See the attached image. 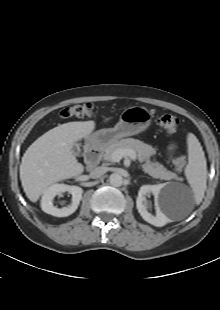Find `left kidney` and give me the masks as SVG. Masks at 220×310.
<instances>
[{
	"label": "left kidney",
	"mask_w": 220,
	"mask_h": 310,
	"mask_svg": "<svg viewBox=\"0 0 220 310\" xmlns=\"http://www.w3.org/2000/svg\"><path fill=\"white\" fill-rule=\"evenodd\" d=\"M165 186V184L143 185L138 192V197L136 200L137 209L142 218L148 223L157 227L164 226L168 221L166 210L170 205L171 200L167 192L163 191ZM150 193L154 195L156 210L155 216L149 213L147 210L146 196Z\"/></svg>",
	"instance_id": "left-kidney-1"
}]
</instances>
